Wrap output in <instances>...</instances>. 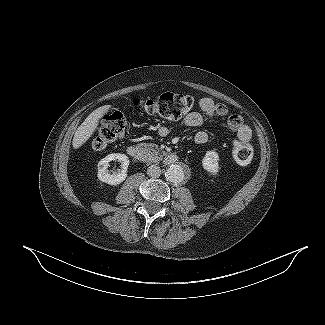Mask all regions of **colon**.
I'll list each match as a JSON object with an SVG mask.
<instances>
[{
    "label": "colon",
    "instance_id": "5ec220e1",
    "mask_svg": "<svg viewBox=\"0 0 325 325\" xmlns=\"http://www.w3.org/2000/svg\"><path fill=\"white\" fill-rule=\"evenodd\" d=\"M194 98L187 94L163 93L145 98L137 102L138 107L151 116H157L168 121H176L185 116L194 106ZM127 120L120 111L106 114L101 120L92 140L94 149H103L108 144L124 137ZM233 158L240 165L248 164L253 158V148L250 144L234 142Z\"/></svg>",
    "mask_w": 325,
    "mask_h": 325
}]
</instances>
